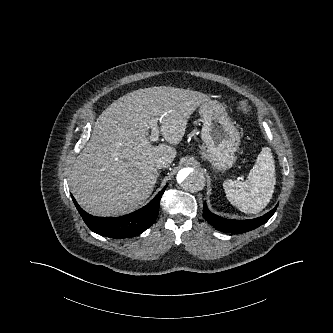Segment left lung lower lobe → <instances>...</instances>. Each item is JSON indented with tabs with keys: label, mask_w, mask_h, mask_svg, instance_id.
Here are the masks:
<instances>
[{
	"label": "left lung lower lobe",
	"mask_w": 333,
	"mask_h": 333,
	"mask_svg": "<svg viewBox=\"0 0 333 333\" xmlns=\"http://www.w3.org/2000/svg\"><path fill=\"white\" fill-rule=\"evenodd\" d=\"M276 208H273L270 212L266 213L265 215L250 219V220H232V219H224L220 216H217L211 213L206 203L203 206V215L205 219L216 229L222 232H230V233H243L250 230H253L260 225L266 223L276 211Z\"/></svg>",
	"instance_id": "0a47b994"
}]
</instances>
